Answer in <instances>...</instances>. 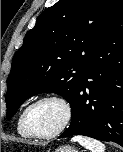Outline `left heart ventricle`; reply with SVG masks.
<instances>
[{
  "instance_id": "left-heart-ventricle-1",
  "label": "left heart ventricle",
  "mask_w": 123,
  "mask_h": 152,
  "mask_svg": "<svg viewBox=\"0 0 123 152\" xmlns=\"http://www.w3.org/2000/svg\"><path fill=\"white\" fill-rule=\"evenodd\" d=\"M64 109L56 101H44L35 105L28 117L30 128L39 134L55 131L64 120Z\"/></svg>"
}]
</instances>
